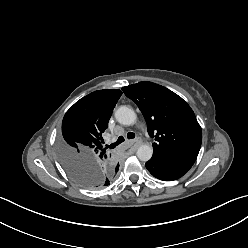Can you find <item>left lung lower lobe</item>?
Wrapping results in <instances>:
<instances>
[{"instance_id": "1", "label": "left lung lower lobe", "mask_w": 248, "mask_h": 248, "mask_svg": "<svg viewBox=\"0 0 248 248\" xmlns=\"http://www.w3.org/2000/svg\"><path fill=\"white\" fill-rule=\"evenodd\" d=\"M197 156L185 155L161 158L153 155L145 164L148 171L156 178L164 181L179 179L189 171Z\"/></svg>"}]
</instances>
